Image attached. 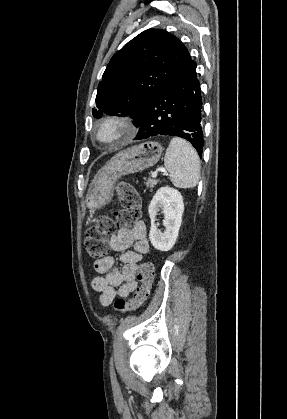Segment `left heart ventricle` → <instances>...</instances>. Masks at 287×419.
Listing matches in <instances>:
<instances>
[{"instance_id": "1", "label": "left heart ventricle", "mask_w": 287, "mask_h": 419, "mask_svg": "<svg viewBox=\"0 0 287 419\" xmlns=\"http://www.w3.org/2000/svg\"><path fill=\"white\" fill-rule=\"evenodd\" d=\"M117 132L111 128H105L100 132V137L102 140H109L115 136Z\"/></svg>"}]
</instances>
